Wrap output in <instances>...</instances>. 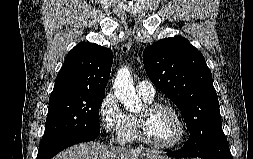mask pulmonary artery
<instances>
[{
    "mask_svg": "<svg viewBox=\"0 0 253 159\" xmlns=\"http://www.w3.org/2000/svg\"><path fill=\"white\" fill-rule=\"evenodd\" d=\"M137 93L145 99H153L155 96V88L149 81L143 80L136 85Z\"/></svg>",
    "mask_w": 253,
    "mask_h": 159,
    "instance_id": "pulmonary-artery-1",
    "label": "pulmonary artery"
}]
</instances>
